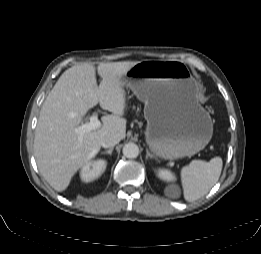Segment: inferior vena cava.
<instances>
[{"label":"inferior vena cava","instance_id":"obj_1","mask_svg":"<svg viewBox=\"0 0 261 254\" xmlns=\"http://www.w3.org/2000/svg\"><path fill=\"white\" fill-rule=\"evenodd\" d=\"M119 141H120V138L118 135H116V134L107 135L102 139L101 145L104 148H111V147H114Z\"/></svg>","mask_w":261,"mask_h":254}]
</instances>
